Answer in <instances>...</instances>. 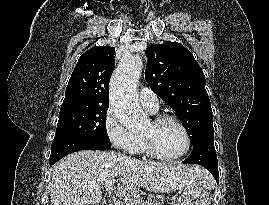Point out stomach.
<instances>
[{"label":"stomach","instance_id":"1","mask_svg":"<svg viewBox=\"0 0 269 205\" xmlns=\"http://www.w3.org/2000/svg\"><path fill=\"white\" fill-rule=\"evenodd\" d=\"M179 196L175 198L171 205H210L211 196L203 185L192 183L179 189ZM146 205H161V201L150 197Z\"/></svg>","mask_w":269,"mask_h":205}]
</instances>
